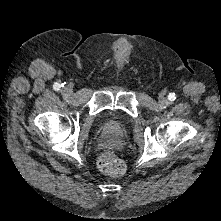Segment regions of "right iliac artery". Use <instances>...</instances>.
<instances>
[{"instance_id":"1","label":"right iliac artery","mask_w":221,"mask_h":221,"mask_svg":"<svg viewBox=\"0 0 221 221\" xmlns=\"http://www.w3.org/2000/svg\"><path fill=\"white\" fill-rule=\"evenodd\" d=\"M54 89H55V90H59V89H60V85H59V84H56V85L54 86Z\"/></svg>"}]
</instances>
